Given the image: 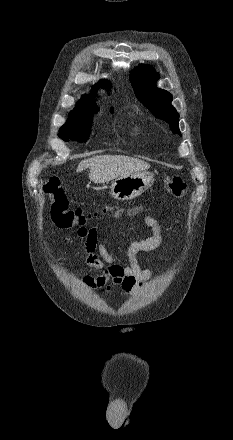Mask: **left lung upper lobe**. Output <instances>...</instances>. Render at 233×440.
I'll list each match as a JSON object with an SVG mask.
<instances>
[{
    "label": "left lung upper lobe",
    "mask_w": 233,
    "mask_h": 440,
    "mask_svg": "<svg viewBox=\"0 0 233 440\" xmlns=\"http://www.w3.org/2000/svg\"><path fill=\"white\" fill-rule=\"evenodd\" d=\"M158 77L152 66L139 65L134 75L130 77V81L138 99L152 111L153 115L169 123L174 134H180L179 114L171 105L172 95L156 87L155 82Z\"/></svg>",
    "instance_id": "obj_1"
}]
</instances>
